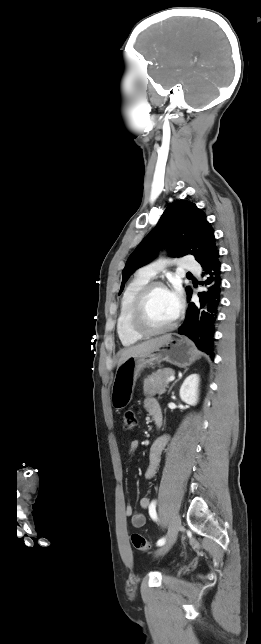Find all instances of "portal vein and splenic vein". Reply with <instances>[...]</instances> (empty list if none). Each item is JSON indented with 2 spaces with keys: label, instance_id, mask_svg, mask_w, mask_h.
<instances>
[{
  "label": "portal vein and splenic vein",
  "instance_id": "1",
  "mask_svg": "<svg viewBox=\"0 0 261 644\" xmlns=\"http://www.w3.org/2000/svg\"><path fill=\"white\" fill-rule=\"evenodd\" d=\"M174 379H175V376H174V375H172V376H170V377L168 378V382H171V381H173Z\"/></svg>",
  "mask_w": 261,
  "mask_h": 644
}]
</instances>
